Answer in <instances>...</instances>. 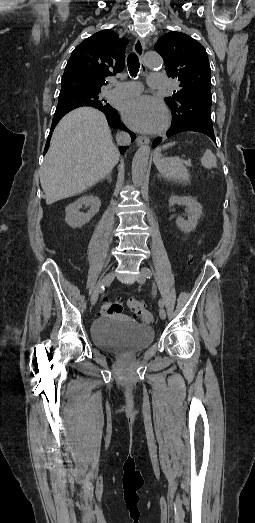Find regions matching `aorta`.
I'll return each mask as SVG.
<instances>
[{"mask_svg": "<svg viewBox=\"0 0 255 523\" xmlns=\"http://www.w3.org/2000/svg\"><path fill=\"white\" fill-rule=\"evenodd\" d=\"M144 63L149 69L162 67L163 60L156 52H147L144 56ZM151 148L149 145H142L135 153L132 161V182L136 186H141L144 182Z\"/></svg>", "mask_w": 255, "mask_h": 523, "instance_id": "1", "label": "aorta"}]
</instances>
